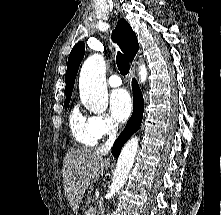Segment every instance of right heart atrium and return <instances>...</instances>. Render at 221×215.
<instances>
[{
    "label": "right heart atrium",
    "mask_w": 221,
    "mask_h": 215,
    "mask_svg": "<svg viewBox=\"0 0 221 215\" xmlns=\"http://www.w3.org/2000/svg\"><path fill=\"white\" fill-rule=\"evenodd\" d=\"M92 132L98 139L112 137L117 133L118 125L105 114H97L90 118Z\"/></svg>",
    "instance_id": "right-heart-atrium-1"
}]
</instances>
